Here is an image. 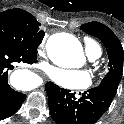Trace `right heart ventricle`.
Wrapping results in <instances>:
<instances>
[{
  "label": "right heart ventricle",
  "instance_id": "right-heart-ventricle-1",
  "mask_svg": "<svg viewBox=\"0 0 124 124\" xmlns=\"http://www.w3.org/2000/svg\"><path fill=\"white\" fill-rule=\"evenodd\" d=\"M84 47L87 55L90 58H98L101 55V48L98 45V43L91 39V38H85L84 39Z\"/></svg>",
  "mask_w": 124,
  "mask_h": 124
}]
</instances>
